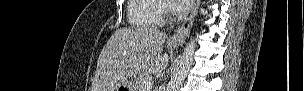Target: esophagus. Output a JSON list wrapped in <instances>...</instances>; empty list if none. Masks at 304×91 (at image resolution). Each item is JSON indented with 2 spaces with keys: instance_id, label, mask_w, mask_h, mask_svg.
<instances>
[{
  "instance_id": "obj_1",
  "label": "esophagus",
  "mask_w": 304,
  "mask_h": 91,
  "mask_svg": "<svg viewBox=\"0 0 304 91\" xmlns=\"http://www.w3.org/2000/svg\"><path fill=\"white\" fill-rule=\"evenodd\" d=\"M200 5V0L194 1L193 9L189 15V17L178 27L176 32L170 37L169 43L174 46H181L185 42L186 38L188 37L194 19L197 15L198 8Z\"/></svg>"
}]
</instances>
